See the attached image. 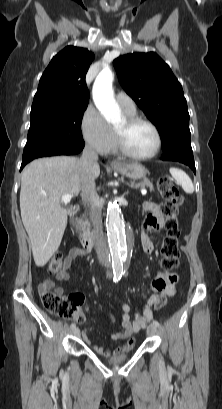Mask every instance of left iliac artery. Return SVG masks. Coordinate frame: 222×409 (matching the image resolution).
<instances>
[{"label": "left iliac artery", "mask_w": 222, "mask_h": 409, "mask_svg": "<svg viewBox=\"0 0 222 409\" xmlns=\"http://www.w3.org/2000/svg\"><path fill=\"white\" fill-rule=\"evenodd\" d=\"M152 324L155 325L156 327H159V326H160L159 322L156 321V320H154V321L152 322Z\"/></svg>", "instance_id": "left-iliac-artery-1"}]
</instances>
